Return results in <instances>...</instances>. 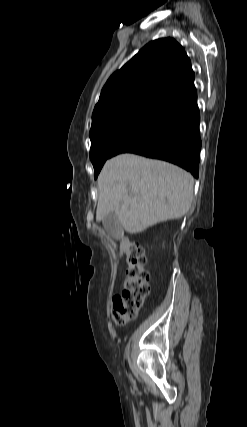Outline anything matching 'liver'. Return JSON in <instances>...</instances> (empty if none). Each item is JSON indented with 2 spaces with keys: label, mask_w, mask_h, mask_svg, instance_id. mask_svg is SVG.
Segmentation results:
<instances>
[{
  "label": "liver",
  "mask_w": 247,
  "mask_h": 427,
  "mask_svg": "<svg viewBox=\"0 0 247 427\" xmlns=\"http://www.w3.org/2000/svg\"><path fill=\"white\" fill-rule=\"evenodd\" d=\"M194 178L173 164L135 154L108 160L98 177L96 220L114 212L126 232L136 234L190 209Z\"/></svg>",
  "instance_id": "1"
}]
</instances>
